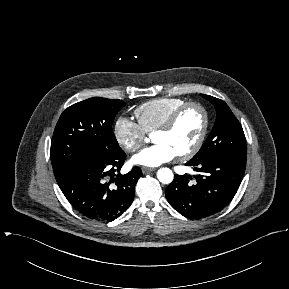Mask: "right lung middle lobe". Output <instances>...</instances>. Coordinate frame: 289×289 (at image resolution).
Returning a JSON list of instances; mask_svg holds the SVG:
<instances>
[{
    "mask_svg": "<svg viewBox=\"0 0 289 289\" xmlns=\"http://www.w3.org/2000/svg\"><path fill=\"white\" fill-rule=\"evenodd\" d=\"M121 100L90 98L68 107L60 116L51 141V162L56 180L85 162L109 160L123 150L112 131Z\"/></svg>",
    "mask_w": 289,
    "mask_h": 289,
    "instance_id": "1",
    "label": "right lung middle lobe"
}]
</instances>
